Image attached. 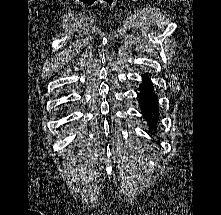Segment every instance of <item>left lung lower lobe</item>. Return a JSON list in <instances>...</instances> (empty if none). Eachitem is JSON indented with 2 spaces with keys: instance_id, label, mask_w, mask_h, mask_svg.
<instances>
[{
  "instance_id": "left-lung-lower-lobe-1",
  "label": "left lung lower lobe",
  "mask_w": 221,
  "mask_h": 215,
  "mask_svg": "<svg viewBox=\"0 0 221 215\" xmlns=\"http://www.w3.org/2000/svg\"><path fill=\"white\" fill-rule=\"evenodd\" d=\"M142 79L143 84L139 88L140 93L137 94V98L139 99V104L146 118L153 120V118L156 117V97L153 93L152 84L148 75L143 76ZM152 124L153 122H151V125Z\"/></svg>"
}]
</instances>
